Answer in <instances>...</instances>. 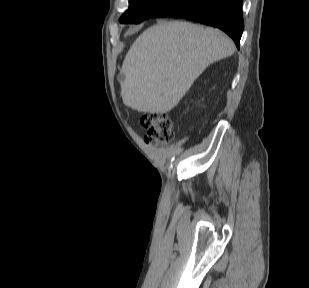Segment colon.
<instances>
[{
	"label": "colon",
	"instance_id": "obj_1",
	"mask_svg": "<svg viewBox=\"0 0 309 288\" xmlns=\"http://www.w3.org/2000/svg\"><path fill=\"white\" fill-rule=\"evenodd\" d=\"M141 124L147 129L145 141L152 146H167L174 139L173 123L165 112H153L141 117Z\"/></svg>",
	"mask_w": 309,
	"mask_h": 288
}]
</instances>
